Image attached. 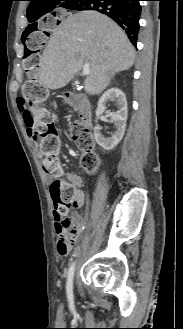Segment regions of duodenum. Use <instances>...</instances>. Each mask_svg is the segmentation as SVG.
<instances>
[{
	"label": "duodenum",
	"mask_w": 183,
	"mask_h": 329,
	"mask_svg": "<svg viewBox=\"0 0 183 329\" xmlns=\"http://www.w3.org/2000/svg\"><path fill=\"white\" fill-rule=\"evenodd\" d=\"M60 100L69 107L78 111L79 117L87 128L91 126V105L86 97L78 93H62L60 94Z\"/></svg>",
	"instance_id": "obj_1"
}]
</instances>
